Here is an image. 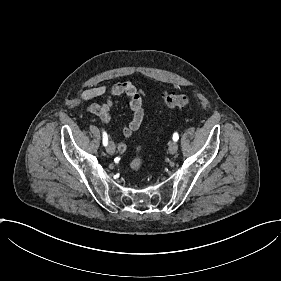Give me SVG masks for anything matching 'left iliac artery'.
Returning <instances> with one entry per match:
<instances>
[{"label": "left iliac artery", "mask_w": 281, "mask_h": 281, "mask_svg": "<svg viewBox=\"0 0 281 281\" xmlns=\"http://www.w3.org/2000/svg\"><path fill=\"white\" fill-rule=\"evenodd\" d=\"M179 139V136L177 133L173 134V140L176 142Z\"/></svg>", "instance_id": "1"}]
</instances>
